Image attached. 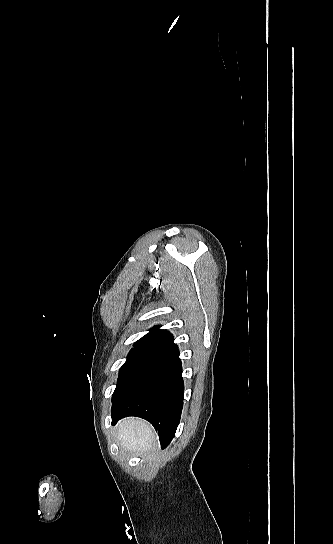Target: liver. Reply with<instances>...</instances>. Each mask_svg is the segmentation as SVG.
Returning <instances> with one entry per match:
<instances>
[{
  "label": "liver",
  "mask_w": 333,
  "mask_h": 544,
  "mask_svg": "<svg viewBox=\"0 0 333 544\" xmlns=\"http://www.w3.org/2000/svg\"><path fill=\"white\" fill-rule=\"evenodd\" d=\"M118 440L123 449L150 453L156 449V435L147 422L138 418H125L118 424Z\"/></svg>",
  "instance_id": "6515ba94"
}]
</instances>
